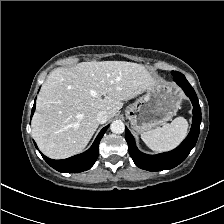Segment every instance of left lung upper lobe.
<instances>
[{"label": "left lung upper lobe", "instance_id": "1", "mask_svg": "<svg viewBox=\"0 0 224 224\" xmlns=\"http://www.w3.org/2000/svg\"><path fill=\"white\" fill-rule=\"evenodd\" d=\"M172 75L175 77V76L179 75V72L172 71Z\"/></svg>", "mask_w": 224, "mask_h": 224}]
</instances>
